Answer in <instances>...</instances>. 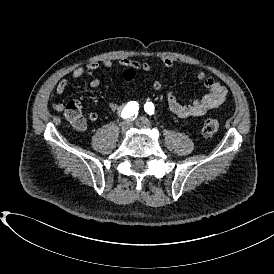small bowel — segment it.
<instances>
[{
  "instance_id": "obj_1",
  "label": "small bowel",
  "mask_w": 274,
  "mask_h": 274,
  "mask_svg": "<svg viewBox=\"0 0 274 274\" xmlns=\"http://www.w3.org/2000/svg\"><path fill=\"white\" fill-rule=\"evenodd\" d=\"M117 64L128 69H135L142 72H150L153 68L152 65L147 61H136L130 58H121L117 61ZM162 64L165 67L171 68L175 65V61L172 58L163 57ZM113 66L114 61L111 59H102L99 62L92 61L85 64L84 66L76 68L72 72V78L79 79L85 75L92 76L89 82V87L97 88L100 86L101 80L99 77L95 76L94 73L101 67L110 69ZM196 79L203 83L207 89V93L195 101L188 104H182L178 101L177 97L172 92H168L166 94V101L169 109L184 123H186L191 117L201 116L206 114L209 110L219 108L222 106L227 97V88L222 85L220 81L217 80L214 76L208 75L205 69L198 70ZM67 85L68 79H61L56 87V94L61 95L65 91ZM151 85L154 90H160L162 87V84L159 80H154ZM107 106L112 112H118L121 109V106L118 103L111 100L107 101ZM52 107L55 111L61 112L64 109V104L61 101H55L52 103ZM99 119L100 115L93 111L87 115L86 120L81 119L80 122L72 123V125L78 131H85L87 129L88 123H95Z\"/></svg>"
}]
</instances>
